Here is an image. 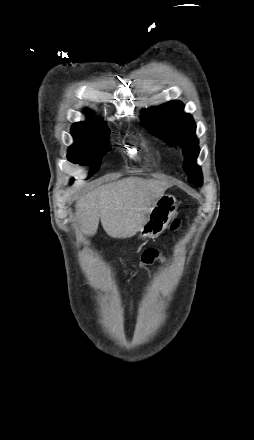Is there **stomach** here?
I'll return each mask as SVG.
<instances>
[{"mask_svg":"<svg viewBox=\"0 0 254 440\" xmlns=\"http://www.w3.org/2000/svg\"><path fill=\"white\" fill-rule=\"evenodd\" d=\"M177 213V200L173 195H162L147 215V221L139 229V238H155L167 227Z\"/></svg>","mask_w":254,"mask_h":440,"instance_id":"obj_1","label":"stomach"}]
</instances>
